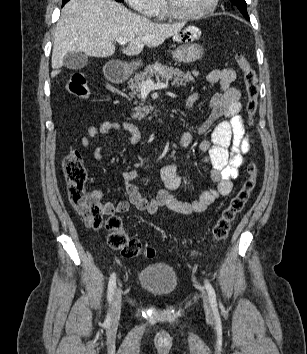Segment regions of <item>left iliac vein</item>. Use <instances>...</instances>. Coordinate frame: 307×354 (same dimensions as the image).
Returning <instances> with one entry per match:
<instances>
[{
  "mask_svg": "<svg viewBox=\"0 0 307 354\" xmlns=\"http://www.w3.org/2000/svg\"><path fill=\"white\" fill-rule=\"evenodd\" d=\"M202 297H203V304H204L205 311L207 314H210L211 313L210 302L205 292H202Z\"/></svg>",
  "mask_w": 307,
  "mask_h": 354,
  "instance_id": "4c4485c4",
  "label": "left iliac vein"
}]
</instances>
